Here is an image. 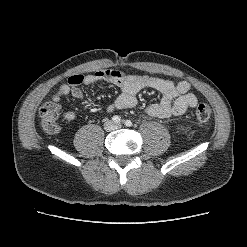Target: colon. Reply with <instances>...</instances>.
Instances as JSON below:
<instances>
[{
  "mask_svg": "<svg viewBox=\"0 0 247 247\" xmlns=\"http://www.w3.org/2000/svg\"><path fill=\"white\" fill-rule=\"evenodd\" d=\"M60 107L53 101L46 102L39 110V116L43 127L48 132L57 130V118ZM212 110L209 105L201 103L195 108V117L199 122H206L211 118Z\"/></svg>",
  "mask_w": 247,
  "mask_h": 247,
  "instance_id": "obj_1",
  "label": "colon"
}]
</instances>
